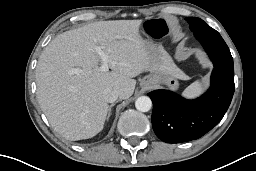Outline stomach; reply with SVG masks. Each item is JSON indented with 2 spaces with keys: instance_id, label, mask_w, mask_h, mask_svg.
Listing matches in <instances>:
<instances>
[{
  "instance_id": "obj_1",
  "label": "stomach",
  "mask_w": 256,
  "mask_h": 171,
  "mask_svg": "<svg viewBox=\"0 0 256 171\" xmlns=\"http://www.w3.org/2000/svg\"><path fill=\"white\" fill-rule=\"evenodd\" d=\"M149 54L152 68L150 74L147 75L141 82L145 86V81H149L151 86L165 84L169 88L176 90L179 83L176 77L172 74V61L160 44L155 43L148 35L143 39Z\"/></svg>"
}]
</instances>
